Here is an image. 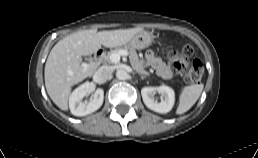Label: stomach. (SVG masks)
<instances>
[{"label":"stomach","mask_w":258,"mask_h":158,"mask_svg":"<svg viewBox=\"0 0 258 158\" xmlns=\"http://www.w3.org/2000/svg\"><path fill=\"white\" fill-rule=\"evenodd\" d=\"M152 41V34L148 31L142 30L131 38L127 43V46L140 50L149 47L152 44Z\"/></svg>","instance_id":"0dacf381"}]
</instances>
